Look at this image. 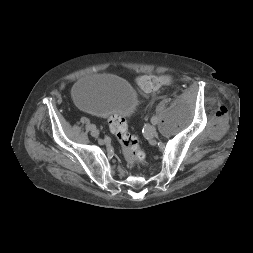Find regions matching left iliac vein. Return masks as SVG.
Here are the masks:
<instances>
[{"instance_id":"left-iliac-vein-1","label":"left iliac vein","mask_w":253,"mask_h":253,"mask_svg":"<svg viewBox=\"0 0 253 253\" xmlns=\"http://www.w3.org/2000/svg\"><path fill=\"white\" fill-rule=\"evenodd\" d=\"M150 133H151V136H156L157 130L154 126H150Z\"/></svg>"}]
</instances>
